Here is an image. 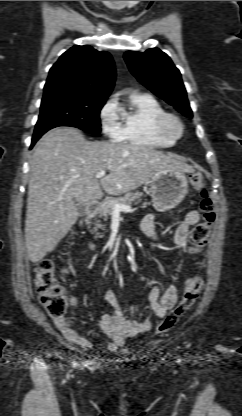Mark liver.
Listing matches in <instances>:
<instances>
[{"mask_svg": "<svg viewBox=\"0 0 242 416\" xmlns=\"http://www.w3.org/2000/svg\"><path fill=\"white\" fill-rule=\"evenodd\" d=\"M194 169L160 151L134 144L88 141L76 128L58 127L37 142L30 162L25 240L31 262L41 261L76 223L75 202L85 206L103 195H121L160 170ZM99 171L110 173L98 181Z\"/></svg>", "mask_w": 242, "mask_h": 416, "instance_id": "liver-1", "label": "liver"}]
</instances>
